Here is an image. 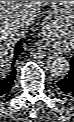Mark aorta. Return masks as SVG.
I'll return each instance as SVG.
<instances>
[{"label":"aorta","mask_w":74,"mask_h":122,"mask_svg":"<svg viewBox=\"0 0 74 122\" xmlns=\"http://www.w3.org/2000/svg\"><path fill=\"white\" fill-rule=\"evenodd\" d=\"M47 70L56 76H64L70 71V64L65 57L52 55L46 60Z\"/></svg>","instance_id":"1"}]
</instances>
